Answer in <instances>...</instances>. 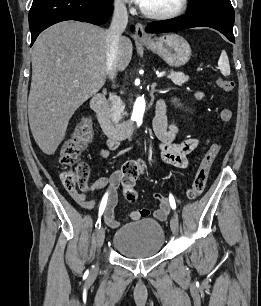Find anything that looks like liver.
Listing matches in <instances>:
<instances>
[{
  "label": "liver",
  "instance_id": "6515ba94",
  "mask_svg": "<svg viewBox=\"0 0 261 306\" xmlns=\"http://www.w3.org/2000/svg\"><path fill=\"white\" fill-rule=\"evenodd\" d=\"M106 30L79 21H63L43 31L32 52L28 117L32 135L46 155L65 137L69 120L106 82ZM132 42L121 36L117 70L132 58Z\"/></svg>",
  "mask_w": 261,
  "mask_h": 306
}]
</instances>
